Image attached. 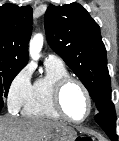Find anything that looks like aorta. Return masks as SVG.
Wrapping results in <instances>:
<instances>
[{
  "label": "aorta",
  "mask_w": 119,
  "mask_h": 141,
  "mask_svg": "<svg viewBox=\"0 0 119 141\" xmlns=\"http://www.w3.org/2000/svg\"><path fill=\"white\" fill-rule=\"evenodd\" d=\"M43 41H44V38L42 34H36L31 39L30 44H29V53L33 60L39 59L40 51L43 46Z\"/></svg>",
  "instance_id": "762f6f07"
}]
</instances>
